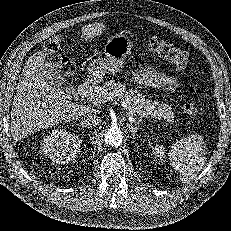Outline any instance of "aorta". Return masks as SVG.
Masks as SVG:
<instances>
[{
	"label": "aorta",
	"mask_w": 231,
	"mask_h": 231,
	"mask_svg": "<svg viewBox=\"0 0 231 231\" xmlns=\"http://www.w3.org/2000/svg\"><path fill=\"white\" fill-rule=\"evenodd\" d=\"M123 139V132L116 126L108 128L104 133V141L111 147H117L121 145Z\"/></svg>",
	"instance_id": "1"
}]
</instances>
